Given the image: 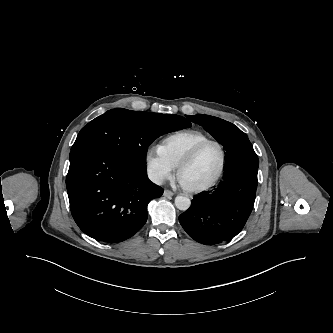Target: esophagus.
I'll list each match as a JSON object with an SVG mask.
<instances>
[{
  "instance_id": "obj_1",
  "label": "esophagus",
  "mask_w": 333,
  "mask_h": 333,
  "mask_svg": "<svg viewBox=\"0 0 333 333\" xmlns=\"http://www.w3.org/2000/svg\"><path fill=\"white\" fill-rule=\"evenodd\" d=\"M164 197H172L174 195V193L168 189L164 190L163 193Z\"/></svg>"
}]
</instances>
